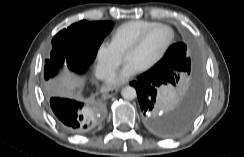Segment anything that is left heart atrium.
Listing matches in <instances>:
<instances>
[{"label": "left heart atrium", "instance_id": "39dd6f15", "mask_svg": "<svg viewBox=\"0 0 244 157\" xmlns=\"http://www.w3.org/2000/svg\"><path fill=\"white\" fill-rule=\"evenodd\" d=\"M140 68L134 64L132 61H126L121 68V70L115 74L107 83L109 88L116 87L126 81H128L132 76L137 74Z\"/></svg>", "mask_w": 244, "mask_h": 157}]
</instances>
